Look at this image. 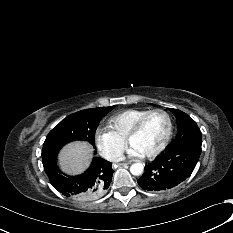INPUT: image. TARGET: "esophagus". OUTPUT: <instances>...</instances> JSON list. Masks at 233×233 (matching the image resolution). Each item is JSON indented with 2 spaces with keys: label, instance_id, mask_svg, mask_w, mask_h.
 Returning <instances> with one entry per match:
<instances>
[{
  "label": "esophagus",
  "instance_id": "obj_1",
  "mask_svg": "<svg viewBox=\"0 0 233 233\" xmlns=\"http://www.w3.org/2000/svg\"><path fill=\"white\" fill-rule=\"evenodd\" d=\"M127 165V163H118V166L121 167V166H125Z\"/></svg>",
  "mask_w": 233,
  "mask_h": 233
}]
</instances>
